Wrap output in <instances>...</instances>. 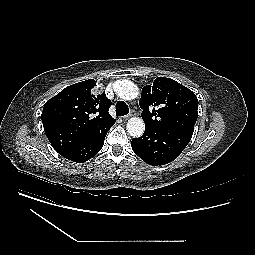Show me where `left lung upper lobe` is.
Segmentation results:
<instances>
[{"label": "left lung upper lobe", "mask_w": 255, "mask_h": 255, "mask_svg": "<svg viewBox=\"0 0 255 255\" xmlns=\"http://www.w3.org/2000/svg\"><path fill=\"white\" fill-rule=\"evenodd\" d=\"M145 127L193 133L198 117V99L173 79L158 77L142 89L139 100Z\"/></svg>", "instance_id": "5c2ea615"}]
</instances>
